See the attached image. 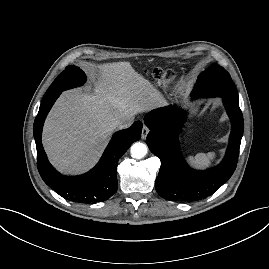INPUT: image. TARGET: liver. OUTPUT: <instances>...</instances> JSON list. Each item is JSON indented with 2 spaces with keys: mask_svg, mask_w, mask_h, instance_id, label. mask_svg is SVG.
I'll use <instances>...</instances> for the list:
<instances>
[{
  "mask_svg": "<svg viewBox=\"0 0 269 269\" xmlns=\"http://www.w3.org/2000/svg\"><path fill=\"white\" fill-rule=\"evenodd\" d=\"M99 79L89 89L64 92L48 115L43 145L62 173L80 174L99 160L120 121L159 105L155 87L129 62L98 66Z\"/></svg>",
  "mask_w": 269,
  "mask_h": 269,
  "instance_id": "obj_1",
  "label": "liver"
}]
</instances>
